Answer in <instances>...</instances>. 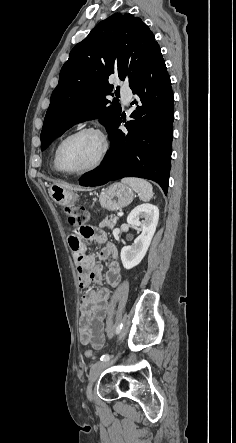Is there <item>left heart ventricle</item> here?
Returning a JSON list of instances; mask_svg holds the SVG:
<instances>
[{
    "label": "left heart ventricle",
    "instance_id": "obj_1",
    "mask_svg": "<svg viewBox=\"0 0 236 443\" xmlns=\"http://www.w3.org/2000/svg\"><path fill=\"white\" fill-rule=\"evenodd\" d=\"M101 149L98 137L83 133L70 139L61 151L62 166L71 171L85 169L97 160Z\"/></svg>",
    "mask_w": 236,
    "mask_h": 443
}]
</instances>
